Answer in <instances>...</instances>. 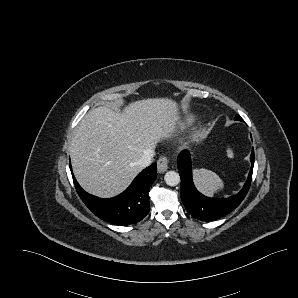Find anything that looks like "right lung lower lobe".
I'll return each mask as SVG.
<instances>
[{
	"mask_svg": "<svg viewBox=\"0 0 298 298\" xmlns=\"http://www.w3.org/2000/svg\"><path fill=\"white\" fill-rule=\"evenodd\" d=\"M156 178L157 167L153 163L123 193L113 198L101 199L85 192L73 176L77 193L91 212L102 220L121 226L137 223L148 214L150 186Z\"/></svg>",
	"mask_w": 298,
	"mask_h": 298,
	"instance_id": "right-lung-lower-lobe-1",
	"label": "right lung lower lobe"
}]
</instances>
